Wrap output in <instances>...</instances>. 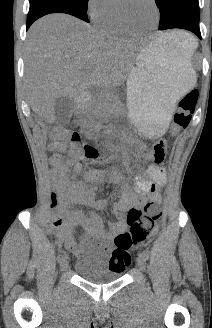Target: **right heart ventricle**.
<instances>
[{
    "instance_id": "1",
    "label": "right heart ventricle",
    "mask_w": 212,
    "mask_h": 328,
    "mask_svg": "<svg viewBox=\"0 0 212 328\" xmlns=\"http://www.w3.org/2000/svg\"><path fill=\"white\" fill-rule=\"evenodd\" d=\"M98 24L102 30L110 34L121 35L130 33L120 23L115 9H113L103 19H101Z\"/></svg>"
}]
</instances>
